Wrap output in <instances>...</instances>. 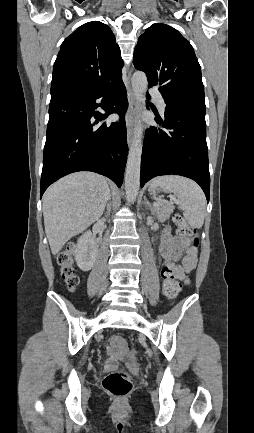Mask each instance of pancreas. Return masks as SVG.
Instances as JSON below:
<instances>
[{"instance_id":"pancreas-1","label":"pancreas","mask_w":254,"mask_h":433,"mask_svg":"<svg viewBox=\"0 0 254 433\" xmlns=\"http://www.w3.org/2000/svg\"><path fill=\"white\" fill-rule=\"evenodd\" d=\"M174 206L172 204H162L154 206L153 214H156L158 219L164 221L173 213Z\"/></svg>"}]
</instances>
